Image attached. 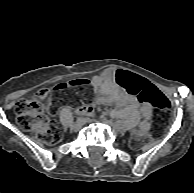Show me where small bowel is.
Wrapping results in <instances>:
<instances>
[{"instance_id": "obj_1", "label": "small bowel", "mask_w": 194, "mask_h": 193, "mask_svg": "<svg viewBox=\"0 0 194 193\" xmlns=\"http://www.w3.org/2000/svg\"><path fill=\"white\" fill-rule=\"evenodd\" d=\"M116 71L107 69L92 78V88L94 93L93 102L95 104H113L114 109L110 112L113 118H129L136 121L141 115L143 121L138 130L139 134H145L150 127V119L153 112V105L145 104L138 110V102L132 93L122 92L115 80ZM146 80L144 78H141ZM151 84L148 80H146ZM158 92L162 93L157 87L151 84ZM92 111L91 106L82 105L78 108V113L87 115Z\"/></svg>"}]
</instances>
